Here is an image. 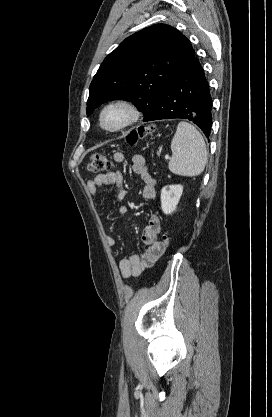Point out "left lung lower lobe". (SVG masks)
<instances>
[{"mask_svg": "<svg viewBox=\"0 0 272 417\" xmlns=\"http://www.w3.org/2000/svg\"><path fill=\"white\" fill-rule=\"evenodd\" d=\"M211 115L212 97L209 84L198 59L194 56L176 74L143 121L187 119L209 137Z\"/></svg>", "mask_w": 272, "mask_h": 417, "instance_id": "1", "label": "left lung lower lobe"}]
</instances>
